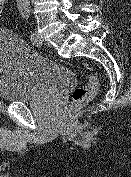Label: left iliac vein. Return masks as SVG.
Masks as SVG:
<instances>
[{"instance_id":"left-iliac-vein-1","label":"left iliac vein","mask_w":131,"mask_h":177,"mask_svg":"<svg viewBox=\"0 0 131 177\" xmlns=\"http://www.w3.org/2000/svg\"><path fill=\"white\" fill-rule=\"evenodd\" d=\"M35 34H36V37H37V40H38L37 41V46H41L42 43H43V39H42V37L39 33L35 32Z\"/></svg>"}]
</instances>
